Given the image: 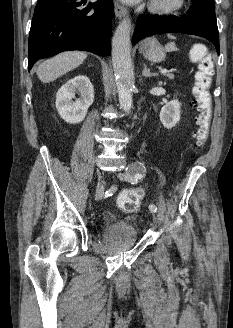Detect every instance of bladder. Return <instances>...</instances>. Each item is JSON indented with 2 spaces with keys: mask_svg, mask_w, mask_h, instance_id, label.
I'll use <instances>...</instances> for the list:
<instances>
[{
  "mask_svg": "<svg viewBox=\"0 0 233 328\" xmlns=\"http://www.w3.org/2000/svg\"><path fill=\"white\" fill-rule=\"evenodd\" d=\"M124 222L120 223V227L123 229L124 233L130 236L132 242H136L137 236L135 230L130 226H125Z\"/></svg>",
  "mask_w": 233,
  "mask_h": 328,
  "instance_id": "31cf9c89",
  "label": "bladder"
}]
</instances>
